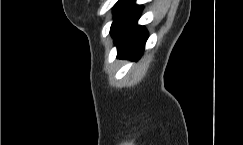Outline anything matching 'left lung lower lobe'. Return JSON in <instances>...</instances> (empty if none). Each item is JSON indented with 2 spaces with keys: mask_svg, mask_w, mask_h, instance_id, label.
<instances>
[{
  "mask_svg": "<svg viewBox=\"0 0 243 145\" xmlns=\"http://www.w3.org/2000/svg\"><path fill=\"white\" fill-rule=\"evenodd\" d=\"M142 5L130 0L114 20L110 34L114 38L118 57L137 60L144 51L148 33L144 26L137 24Z\"/></svg>",
  "mask_w": 243,
  "mask_h": 145,
  "instance_id": "left-lung-lower-lobe-1",
  "label": "left lung lower lobe"
}]
</instances>
